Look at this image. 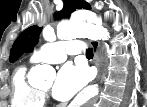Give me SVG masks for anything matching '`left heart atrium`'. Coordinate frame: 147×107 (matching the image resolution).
Returning <instances> with one entry per match:
<instances>
[{
	"instance_id": "1",
	"label": "left heart atrium",
	"mask_w": 147,
	"mask_h": 107,
	"mask_svg": "<svg viewBox=\"0 0 147 107\" xmlns=\"http://www.w3.org/2000/svg\"><path fill=\"white\" fill-rule=\"evenodd\" d=\"M89 80V73L82 65H65L58 73L53 95L61 101L71 99Z\"/></svg>"
}]
</instances>
